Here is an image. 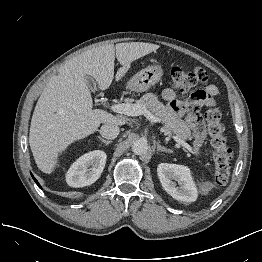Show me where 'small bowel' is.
Instances as JSON below:
<instances>
[{
    "instance_id": "1",
    "label": "small bowel",
    "mask_w": 262,
    "mask_h": 262,
    "mask_svg": "<svg viewBox=\"0 0 262 262\" xmlns=\"http://www.w3.org/2000/svg\"><path fill=\"white\" fill-rule=\"evenodd\" d=\"M206 80V79H205ZM218 93V88L214 84H207L203 91L197 92L192 98V106L194 111L187 109L186 104H183L177 99V95L172 89L163 91V99L171 107L173 113L177 116H184L187 125L192 130L194 144L201 146L205 136V125L199 117L196 109L201 107L214 106V97Z\"/></svg>"
}]
</instances>
